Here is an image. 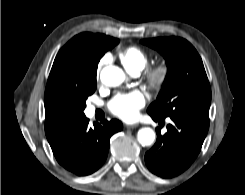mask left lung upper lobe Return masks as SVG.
Wrapping results in <instances>:
<instances>
[{"label": "left lung upper lobe", "mask_w": 245, "mask_h": 195, "mask_svg": "<svg viewBox=\"0 0 245 195\" xmlns=\"http://www.w3.org/2000/svg\"><path fill=\"white\" fill-rule=\"evenodd\" d=\"M141 42L162 54L168 67L163 89L148 107V114L159 119L181 117L209 122L211 89L196 49L178 37H159Z\"/></svg>", "instance_id": "left-lung-upper-lobe-1"}]
</instances>
